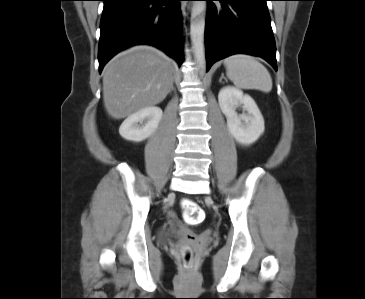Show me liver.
<instances>
[{"mask_svg": "<svg viewBox=\"0 0 365 299\" xmlns=\"http://www.w3.org/2000/svg\"><path fill=\"white\" fill-rule=\"evenodd\" d=\"M174 62L150 46H136L114 57L103 71V102L114 119L162 102L173 85Z\"/></svg>", "mask_w": 365, "mask_h": 299, "instance_id": "obj_1", "label": "liver"}]
</instances>
